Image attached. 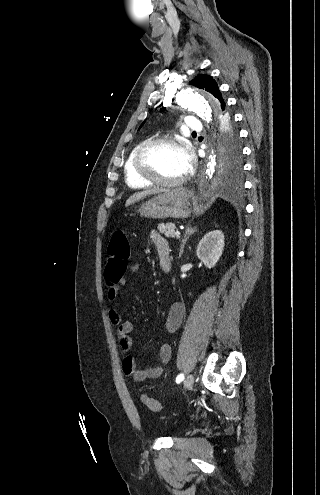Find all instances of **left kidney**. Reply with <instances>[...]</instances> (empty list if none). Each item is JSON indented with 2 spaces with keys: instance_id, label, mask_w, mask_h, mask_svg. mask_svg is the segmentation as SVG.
<instances>
[{
  "instance_id": "left-kidney-1",
  "label": "left kidney",
  "mask_w": 320,
  "mask_h": 495,
  "mask_svg": "<svg viewBox=\"0 0 320 495\" xmlns=\"http://www.w3.org/2000/svg\"><path fill=\"white\" fill-rule=\"evenodd\" d=\"M224 249V234L220 230L207 233L199 242L197 256L207 268H212Z\"/></svg>"
}]
</instances>
